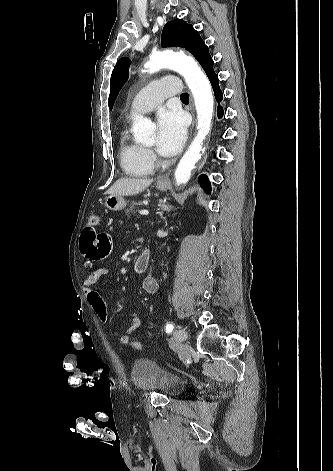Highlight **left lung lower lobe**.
<instances>
[{
  "label": "left lung lower lobe",
  "instance_id": "obj_1",
  "mask_svg": "<svg viewBox=\"0 0 333 471\" xmlns=\"http://www.w3.org/2000/svg\"><path fill=\"white\" fill-rule=\"evenodd\" d=\"M213 60L211 58V56L209 55L201 64V66L203 67L204 71L206 72L210 82H211V85L213 87V91H214V94H215V98L218 102V107H217V113H218V118H221L223 116V109L222 107L220 106V102L222 101L223 99V94H222V91L219 87V80H218V76L216 75V73L214 72V69H213ZM199 180L200 182L202 183V185L208 190V192L211 191V185H210V182L207 178V176L205 175H201L199 177Z\"/></svg>",
  "mask_w": 333,
  "mask_h": 471
}]
</instances>
